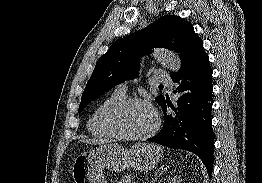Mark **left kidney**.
I'll return each mask as SVG.
<instances>
[{
	"label": "left kidney",
	"instance_id": "5707ae66",
	"mask_svg": "<svg viewBox=\"0 0 262 183\" xmlns=\"http://www.w3.org/2000/svg\"><path fill=\"white\" fill-rule=\"evenodd\" d=\"M181 179L178 177L173 178L172 183H180Z\"/></svg>",
	"mask_w": 262,
	"mask_h": 183
}]
</instances>
